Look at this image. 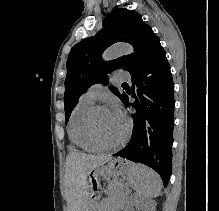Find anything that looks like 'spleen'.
<instances>
[{
  "label": "spleen",
  "instance_id": "obj_1",
  "mask_svg": "<svg viewBox=\"0 0 219 211\" xmlns=\"http://www.w3.org/2000/svg\"><path fill=\"white\" fill-rule=\"evenodd\" d=\"M129 183L144 199L157 197L162 187L159 173L147 165H136L134 171L129 175Z\"/></svg>",
  "mask_w": 219,
  "mask_h": 211
}]
</instances>
